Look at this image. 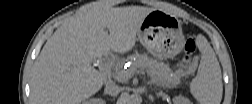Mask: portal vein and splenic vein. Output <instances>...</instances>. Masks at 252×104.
I'll return each instance as SVG.
<instances>
[{
    "label": "portal vein and splenic vein",
    "instance_id": "18ae733b",
    "mask_svg": "<svg viewBox=\"0 0 252 104\" xmlns=\"http://www.w3.org/2000/svg\"><path fill=\"white\" fill-rule=\"evenodd\" d=\"M133 74H134V71H129V72H127V71H122V72L120 73L121 76H124V77H126V78H131V77L133 76Z\"/></svg>",
    "mask_w": 252,
    "mask_h": 104
}]
</instances>
